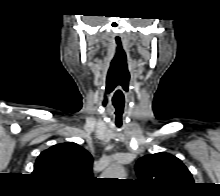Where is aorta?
Instances as JSON below:
<instances>
[{"mask_svg":"<svg viewBox=\"0 0 220 196\" xmlns=\"http://www.w3.org/2000/svg\"><path fill=\"white\" fill-rule=\"evenodd\" d=\"M103 176L105 178H118V179H124L125 177V170L123 166L121 165H112L109 169H107Z\"/></svg>","mask_w":220,"mask_h":196,"instance_id":"aorta-1","label":"aorta"}]
</instances>
